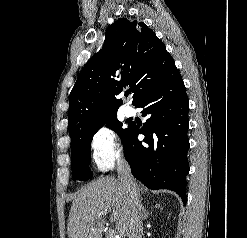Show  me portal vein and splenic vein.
Wrapping results in <instances>:
<instances>
[{
  "label": "portal vein and splenic vein",
  "instance_id": "obj_1",
  "mask_svg": "<svg viewBox=\"0 0 247 238\" xmlns=\"http://www.w3.org/2000/svg\"><path fill=\"white\" fill-rule=\"evenodd\" d=\"M116 232L114 230H108L107 238H115Z\"/></svg>",
  "mask_w": 247,
  "mask_h": 238
}]
</instances>
